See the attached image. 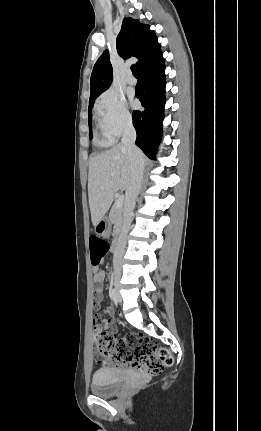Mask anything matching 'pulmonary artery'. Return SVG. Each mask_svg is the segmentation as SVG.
I'll use <instances>...</instances> for the list:
<instances>
[{
	"label": "pulmonary artery",
	"mask_w": 261,
	"mask_h": 431,
	"mask_svg": "<svg viewBox=\"0 0 261 431\" xmlns=\"http://www.w3.org/2000/svg\"><path fill=\"white\" fill-rule=\"evenodd\" d=\"M126 82L129 85H135L136 84V79L133 77V75L131 74V72L128 73L127 78H126Z\"/></svg>",
	"instance_id": "pulmonary-artery-1"
}]
</instances>
